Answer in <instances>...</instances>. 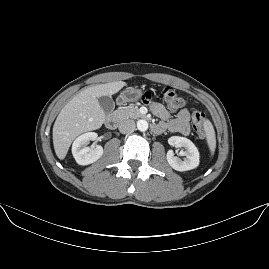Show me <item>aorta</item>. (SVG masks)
<instances>
[{
	"instance_id": "762f6f07",
	"label": "aorta",
	"mask_w": 269,
	"mask_h": 269,
	"mask_svg": "<svg viewBox=\"0 0 269 269\" xmlns=\"http://www.w3.org/2000/svg\"><path fill=\"white\" fill-rule=\"evenodd\" d=\"M137 128H138L140 131H145V130H147V128H148V123H147V121L144 120V119H139V120L137 121Z\"/></svg>"
}]
</instances>
